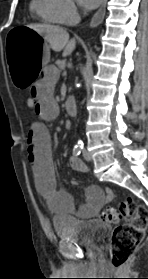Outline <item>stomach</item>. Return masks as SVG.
Listing matches in <instances>:
<instances>
[{
    "mask_svg": "<svg viewBox=\"0 0 148 279\" xmlns=\"http://www.w3.org/2000/svg\"><path fill=\"white\" fill-rule=\"evenodd\" d=\"M5 55H8V79H13L14 91H31L35 82L41 75V68L49 61V46L37 32L33 25H12L4 35Z\"/></svg>",
    "mask_w": 148,
    "mask_h": 279,
    "instance_id": "1",
    "label": "stomach"
}]
</instances>
